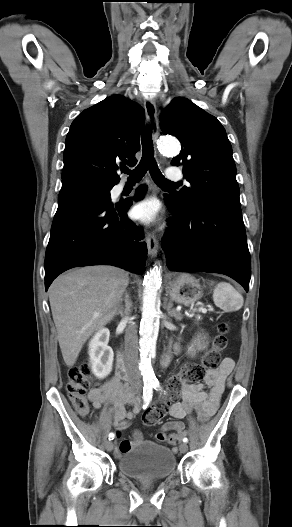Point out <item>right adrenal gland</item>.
<instances>
[{
    "label": "right adrenal gland",
    "instance_id": "2a0ac1e0",
    "mask_svg": "<svg viewBox=\"0 0 292 527\" xmlns=\"http://www.w3.org/2000/svg\"><path fill=\"white\" fill-rule=\"evenodd\" d=\"M125 304H126V309H128L129 305H130V302H129V296L126 294L125 295ZM126 309H124V307L122 305H119L118 306V310H117V315H121L123 316V314L126 312Z\"/></svg>",
    "mask_w": 292,
    "mask_h": 527
}]
</instances>
